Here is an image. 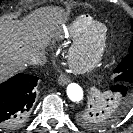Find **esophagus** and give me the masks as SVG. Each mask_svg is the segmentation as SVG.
I'll return each instance as SVG.
<instances>
[{
    "label": "esophagus",
    "instance_id": "34e87169",
    "mask_svg": "<svg viewBox=\"0 0 133 133\" xmlns=\"http://www.w3.org/2000/svg\"><path fill=\"white\" fill-rule=\"evenodd\" d=\"M70 82V79L65 75V74H61L58 78V83L61 86H65Z\"/></svg>",
    "mask_w": 133,
    "mask_h": 133
}]
</instances>
